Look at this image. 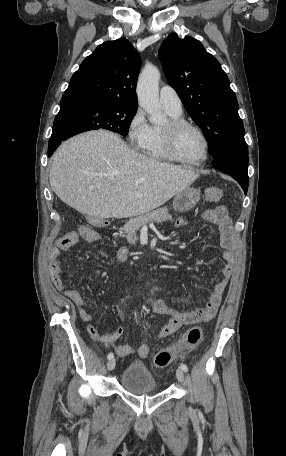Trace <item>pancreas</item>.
Wrapping results in <instances>:
<instances>
[{
    "label": "pancreas",
    "mask_w": 286,
    "mask_h": 456,
    "mask_svg": "<svg viewBox=\"0 0 286 456\" xmlns=\"http://www.w3.org/2000/svg\"><path fill=\"white\" fill-rule=\"evenodd\" d=\"M172 220V216L169 215L167 208H159L152 212L143 214L139 217L130 219L121 230L126 233V239L128 243L135 244L138 240L136 231L145 224L156 222L161 223L164 221Z\"/></svg>",
    "instance_id": "1"
}]
</instances>
